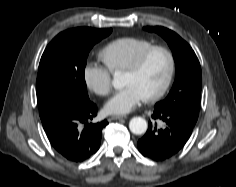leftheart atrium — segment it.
Returning <instances> with one entry per match:
<instances>
[{
	"mask_svg": "<svg viewBox=\"0 0 236 187\" xmlns=\"http://www.w3.org/2000/svg\"><path fill=\"white\" fill-rule=\"evenodd\" d=\"M144 99L142 93L129 85L117 91L105 104V111L113 115H125L136 108Z\"/></svg>",
	"mask_w": 236,
	"mask_h": 187,
	"instance_id": "1",
	"label": "left heart atrium"
}]
</instances>
